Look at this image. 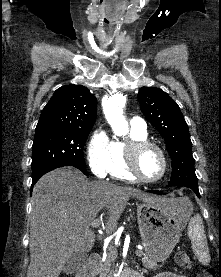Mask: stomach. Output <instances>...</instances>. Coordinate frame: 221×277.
Masks as SVG:
<instances>
[{"mask_svg":"<svg viewBox=\"0 0 221 277\" xmlns=\"http://www.w3.org/2000/svg\"><path fill=\"white\" fill-rule=\"evenodd\" d=\"M142 245L155 262L166 260L179 242L191 211L187 200L166 198V205L136 203Z\"/></svg>","mask_w":221,"mask_h":277,"instance_id":"1","label":"stomach"}]
</instances>
